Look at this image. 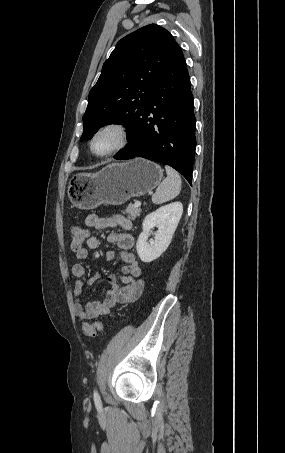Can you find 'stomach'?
Masks as SVG:
<instances>
[{
    "label": "stomach",
    "instance_id": "0dacf381",
    "mask_svg": "<svg viewBox=\"0 0 285 453\" xmlns=\"http://www.w3.org/2000/svg\"><path fill=\"white\" fill-rule=\"evenodd\" d=\"M162 176L158 164L143 158L111 163L96 173L74 175L69 182V198L75 207L84 210L101 204L122 205L152 191Z\"/></svg>",
    "mask_w": 285,
    "mask_h": 453
}]
</instances>
